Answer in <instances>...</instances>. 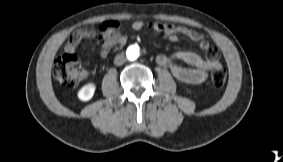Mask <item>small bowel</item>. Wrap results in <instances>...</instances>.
I'll return each instance as SVG.
<instances>
[{
  "label": "small bowel",
  "instance_id": "small-bowel-1",
  "mask_svg": "<svg viewBox=\"0 0 283 162\" xmlns=\"http://www.w3.org/2000/svg\"><path fill=\"white\" fill-rule=\"evenodd\" d=\"M145 28L161 34L171 42H177L179 36H185L197 42L200 49L206 52L205 56L191 51H178L172 57L158 55L156 62L168 68L177 80L188 84H201L206 81L210 71L221 67V63L218 60V51L210 48L202 33L184 26L160 22L147 23L137 20L130 25L132 31H141ZM95 36V32L91 29L76 30L65 45V53L74 54L83 39H94ZM100 41L101 57L106 58L113 47L122 46L127 42V36L119 30L118 22L106 21L101 26ZM178 61L184 62L188 66L182 65Z\"/></svg>",
  "mask_w": 283,
  "mask_h": 162
}]
</instances>
